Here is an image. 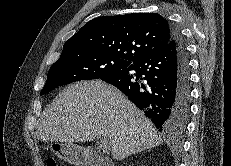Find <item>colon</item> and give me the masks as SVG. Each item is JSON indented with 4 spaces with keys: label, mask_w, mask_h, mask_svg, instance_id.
Returning <instances> with one entry per match:
<instances>
[{
    "label": "colon",
    "mask_w": 231,
    "mask_h": 166,
    "mask_svg": "<svg viewBox=\"0 0 231 166\" xmlns=\"http://www.w3.org/2000/svg\"><path fill=\"white\" fill-rule=\"evenodd\" d=\"M47 166H57V163L54 159L50 158L47 161Z\"/></svg>",
    "instance_id": "5ec220e1"
}]
</instances>
